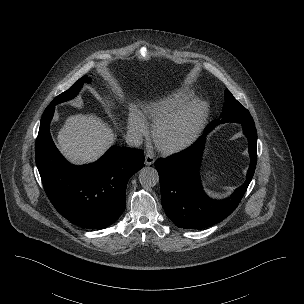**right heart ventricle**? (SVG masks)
<instances>
[{"label":"right heart ventricle","mask_w":304,"mask_h":304,"mask_svg":"<svg viewBox=\"0 0 304 304\" xmlns=\"http://www.w3.org/2000/svg\"><path fill=\"white\" fill-rule=\"evenodd\" d=\"M194 93L187 90H179L163 99L151 102L143 108L142 115L156 123L162 117L175 112L188 101L193 99Z\"/></svg>","instance_id":"right-heart-ventricle-1"}]
</instances>
